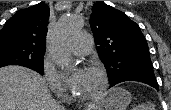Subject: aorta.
<instances>
[{"mask_svg":"<svg viewBox=\"0 0 171 110\" xmlns=\"http://www.w3.org/2000/svg\"><path fill=\"white\" fill-rule=\"evenodd\" d=\"M82 26L83 20L76 15H64L59 19L51 41V54L57 65L67 69L73 67L66 45Z\"/></svg>","mask_w":171,"mask_h":110,"instance_id":"aorta-1","label":"aorta"}]
</instances>
